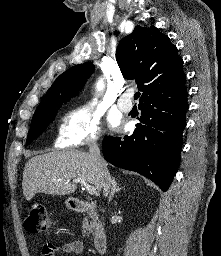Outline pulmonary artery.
Here are the masks:
<instances>
[{
    "mask_svg": "<svg viewBox=\"0 0 221 256\" xmlns=\"http://www.w3.org/2000/svg\"><path fill=\"white\" fill-rule=\"evenodd\" d=\"M132 92L126 91L124 92L118 99V107L123 112H129L133 108V104L131 101L132 98Z\"/></svg>",
    "mask_w": 221,
    "mask_h": 256,
    "instance_id": "1",
    "label": "pulmonary artery"
}]
</instances>
